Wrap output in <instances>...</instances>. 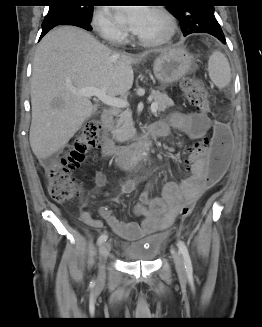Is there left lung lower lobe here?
Listing matches in <instances>:
<instances>
[{
    "instance_id": "left-lung-lower-lobe-1",
    "label": "left lung lower lobe",
    "mask_w": 262,
    "mask_h": 327,
    "mask_svg": "<svg viewBox=\"0 0 262 327\" xmlns=\"http://www.w3.org/2000/svg\"><path fill=\"white\" fill-rule=\"evenodd\" d=\"M215 37H216L217 39H219L223 44L226 43V40H225L224 34H223V36L216 35Z\"/></svg>"
}]
</instances>
